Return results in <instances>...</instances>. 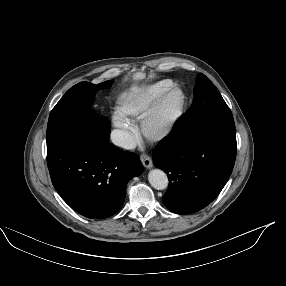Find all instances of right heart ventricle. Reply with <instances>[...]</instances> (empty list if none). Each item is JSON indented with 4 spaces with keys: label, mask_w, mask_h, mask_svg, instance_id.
Masks as SVG:
<instances>
[{
    "label": "right heart ventricle",
    "mask_w": 286,
    "mask_h": 286,
    "mask_svg": "<svg viewBox=\"0 0 286 286\" xmlns=\"http://www.w3.org/2000/svg\"><path fill=\"white\" fill-rule=\"evenodd\" d=\"M171 86L172 80L162 79L130 88L119 100V113L127 119H141L153 102Z\"/></svg>",
    "instance_id": "1"
}]
</instances>
